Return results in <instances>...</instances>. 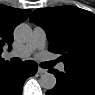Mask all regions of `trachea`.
I'll use <instances>...</instances> for the list:
<instances>
[{
	"mask_svg": "<svg viewBox=\"0 0 95 95\" xmlns=\"http://www.w3.org/2000/svg\"><path fill=\"white\" fill-rule=\"evenodd\" d=\"M11 61L16 62L15 58L11 59ZM54 64H55V62L49 61V62H46V63L42 64V67L43 68H51V67L54 66Z\"/></svg>",
	"mask_w": 95,
	"mask_h": 95,
	"instance_id": "1",
	"label": "trachea"
}]
</instances>
